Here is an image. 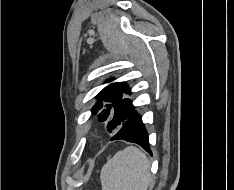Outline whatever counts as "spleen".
I'll list each match as a JSON object with an SVG mask.
<instances>
[{
	"label": "spleen",
	"mask_w": 234,
	"mask_h": 190,
	"mask_svg": "<svg viewBox=\"0 0 234 190\" xmlns=\"http://www.w3.org/2000/svg\"><path fill=\"white\" fill-rule=\"evenodd\" d=\"M102 190H147L151 175L145 153L134 146L118 151L101 170Z\"/></svg>",
	"instance_id": "1"
}]
</instances>
